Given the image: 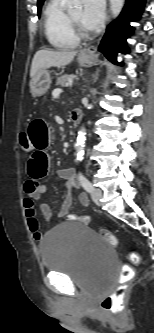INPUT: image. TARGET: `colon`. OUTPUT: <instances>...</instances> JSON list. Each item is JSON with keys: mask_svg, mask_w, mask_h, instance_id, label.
I'll return each mask as SVG.
<instances>
[{"mask_svg": "<svg viewBox=\"0 0 154 333\" xmlns=\"http://www.w3.org/2000/svg\"><path fill=\"white\" fill-rule=\"evenodd\" d=\"M20 148L23 153L27 154L30 152L31 144L27 133H22L19 137ZM66 219L69 221H80L82 223H89L90 218L88 216H77V215H68ZM100 234L105 238L111 245H116L117 240L115 236L106 228L100 229ZM131 260L134 264L140 262L139 257L136 254L131 256ZM134 271L133 269L125 265L122 268L120 277L122 285L119 286L112 294L105 296L101 302L100 307L106 312H112L114 314L119 313L123 309V297L125 291V284L133 278Z\"/></svg>", "mask_w": 154, "mask_h": 333, "instance_id": "1", "label": "colon"}]
</instances>
